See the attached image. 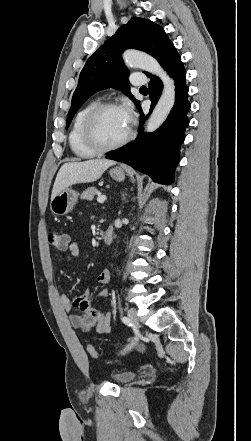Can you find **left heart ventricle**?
<instances>
[{"label": "left heart ventricle", "instance_id": "obj_1", "mask_svg": "<svg viewBox=\"0 0 251 441\" xmlns=\"http://www.w3.org/2000/svg\"><path fill=\"white\" fill-rule=\"evenodd\" d=\"M130 127V119L123 109L103 112L94 125L95 135L103 145H111L124 138Z\"/></svg>", "mask_w": 251, "mask_h": 441}]
</instances>
